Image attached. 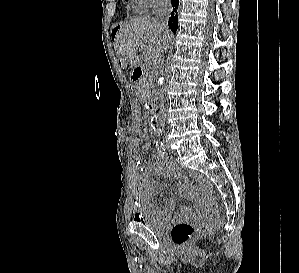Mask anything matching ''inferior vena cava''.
Returning a JSON list of instances; mask_svg holds the SVG:
<instances>
[{
  "mask_svg": "<svg viewBox=\"0 0 299 273\" xmlns=\"http://www.w3.org/2000/svg\"><path fill=\"white\" fill-rule=\"evenodd\" d=\"M171 13V2L170 0H156L155 3V20L158 22L161 29L164 31L168 30V18ZM162 102L164 99L162 98ZM165 108L163 107L162 113L164 114Z\"/></svg>",
  "mask_w": 299,
  "mask_h": 273,
  "instance_id": "1",
  "label": "inferior vena cava"
}]
</instances>
